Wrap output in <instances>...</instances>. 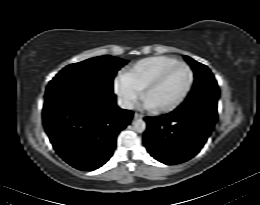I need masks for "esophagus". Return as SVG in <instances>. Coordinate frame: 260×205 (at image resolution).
Masks as SVG:
<instances>
[{
	"label": "esophagus",
	"instance_id": "1",
	"mask_svg": "<svg viewBox=\"0 0 260 205\" xmlns=\"http://www.w3.org/2000/svg\"><path fill=\"white\" fill-rule=\"evenodd\" d=\"M142 118H143V115H142V114L137 113V112L134 113V120H136V119H142Z\"/></svg>",
	"mask_w": 260,
	"mask_h": 205
}]
</instances>
